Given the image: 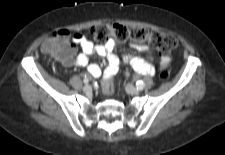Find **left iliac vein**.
<instances>
[{
  "instance_id": "4c4485c4",
  "label": "left iliac vein",
  "mask_w": 225,
  "mask_h": 155,
  "mask_svg": "<svg viewBox=\"0 0 225 155\" xmlns=\"http://www.w3.org/2000/svg\"><path fill=\"white\" fill-rule=\"evenodd\" d=\"M125 90L128 94H131V95H138L140 93V91L131 84H127L125 86Z\"/></svg>"
}]
</instances>
